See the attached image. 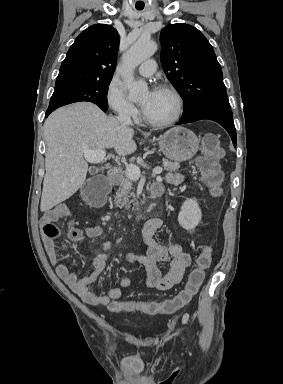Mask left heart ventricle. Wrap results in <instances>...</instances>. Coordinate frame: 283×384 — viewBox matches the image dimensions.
I'll return each instance as SVG.
<instances>
[{
	"label": "left heart ventricle",
	"instance_id": "b2bd125f",
	"mask_svg": "<svg viewBox=\"0 0 283 384\" xmlns=\"http://www.w3.org/2000/svg\"><path fill=\"white\" fill-rule=\"evenodd\" d=\"M147 95V92L141 95L138 100L140 104L146 99ZM174 108L171 96L163 90L156 89L147 106L142 109V114L152 121H164L173 115Z\"/></svg>",
	"mask_w": 283,
	"mask_h": 384
}]
</instances>
